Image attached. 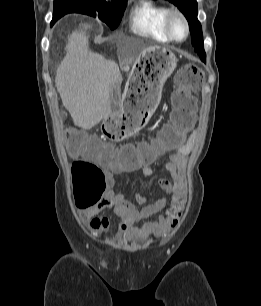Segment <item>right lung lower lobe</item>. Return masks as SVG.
<instances>
[{"label":"right lung lower lobe","instance_id":"right-lung-lower-lobe-1","mask_svg":"<svg viewBox=\"0 0 261 306\" xmlns=\"http://www.w3.org/2000/svg\"><path fill=\"white\" fill-rule=\"evenodd\" d=\"M54 22H56V21L52 20L51 25H52Z\"/></svg>","mask_w":261,"mask_h":306}]
</instances>
